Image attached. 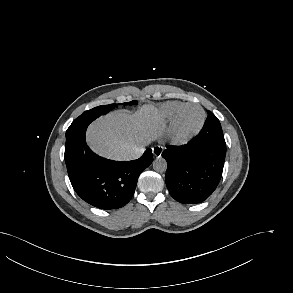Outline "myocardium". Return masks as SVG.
<instances>
[{
	"instance_id": "myocardium-1",
	"label": "myocardium",
	"mask_w": 293,
	"mask_h": 293,
	"mask_svg": "<svg viewBox=\"0 0 293 293\" xmlns=\"http://www.w3.org/2000/svg\"><path fill=\"white\" fill-rule=\"evenodd\" d=\"M188 107H197L201 111L202 117H201L200 123L197 125L196 128H194L188 133L183 134L179 131V118L182 111ZM205 122H206V112L199 104L183 103L177 108V110L175 111L171 119L169 130H168V139L174 145L187 144L195 136L198 135V133L202 130Z\"/></svg>"
}]
</instances>
